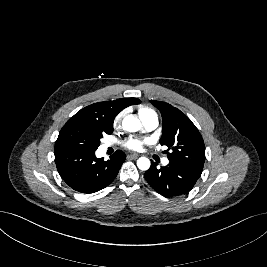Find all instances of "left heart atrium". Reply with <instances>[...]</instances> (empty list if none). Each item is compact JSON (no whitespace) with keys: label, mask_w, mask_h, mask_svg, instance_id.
Returning <instances> with one entry per match:
<instances>
[{"label":"left heart atrium","mask_w":267,"mask_h":267,"mask_svg":"<svg viewBox=\"0 0 267 267\" xmlns=\"http://www.w3.org/2000/svg\"><path fill=\"white\" fill-rule=\"evenodd\" d=\"M144 143L145 141L142 140L129 139L125 142V146L132 150H140L143 147Z\"/></svg>","instance_id":"obj_1"}]
</instances>
